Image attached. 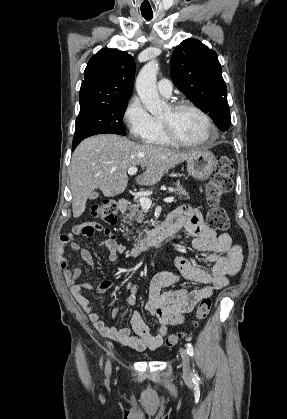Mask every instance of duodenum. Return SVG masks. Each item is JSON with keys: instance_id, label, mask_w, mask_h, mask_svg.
I'll return each mask as SVG.
<instances>
[{"instance_id": "410a0bca", "label": "duodenum", "mask_w": 287, "mask_h": 419, "mask_svg": "<svg viewBox=\"0 0 287 419\" xmlns=\"http://www.w3.org/2000/svg\"><path fill=\"white\" fill-rule=\"evenodd\" d=\"M128 205L129 202L127 199H120L118 202L120 212L125 213ZM174 232L175 229L173 227L164 223L161 227L148 233L137 245H135L131 250V256L137 257L148 249L157 246L163 240L170 237Z\"/></svg>"}]
</instances>
